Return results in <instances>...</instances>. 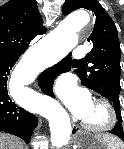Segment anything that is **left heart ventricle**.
Returning <instances> with one entry per match:
<instances>
[{"mask_svg":"<svg viewBox=\"0 0 124 149\" xmlns=\"http://www.w3.org/2000/svg\"><path fill=\"white\" fill-rule=\"evenodd\" d=\"M84 120L94 125H99L105 120V111L102 107L93 104L90 112Z\"/></svg>","mask_w":124,"mask_h":149,"instance_id":"b2bd125f","label":"left heart ventricle"}]
</instances>
